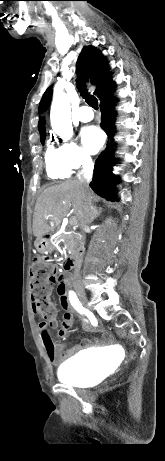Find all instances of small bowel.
<instances>
[{
  "label": "small bowel",
  "instance_id": "1",
  "mask_svg": "<svg viewBox=\"0 0 165 461\" xmlns=\"http://www.w3.org/2000/svg\"><path fill=\"white\" fill-rule=\"evenodd\" d=\"M57 276V298L60 299L61 307L65 311L62 317L61 324H58L55 313L50 318H46L37 310L36 306L33 304L34 313L44 317V320L39 324V330L42 333L43 346L45 348L47 357L53 364H58L64 360H67L70 357H72L75 353H77L79 350L98 343L96 339L86 338L83 339L78 345L69 349H64V347L60 344H56L54 342L52 344H49L46 342L44 335L45 331L48 328H57L58 336L65 337L68 335L73 325L72 304L70 302V299H68L69 293L67 291V278L64 277L65 273L63 271H59L57 273ZM84 328L86 330H92V326L87 322L84 323Z\"/></svg>",
  "mask_w": 165,
  "mask_h": 461
}]
</instances>
